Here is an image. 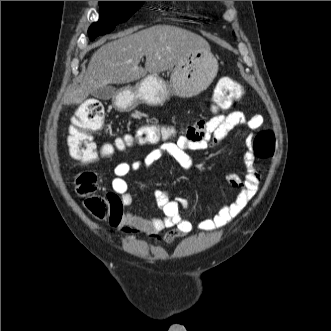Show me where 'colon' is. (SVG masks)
<instances>
[{"instance_id":"colon-1","label":"colon","mask_w":331,"mask_h":331,"mask_svg":"<svg viewBox=\"0 0 331 331\" xmlns=\"http://www.w3.org/2000/svg\"><path fill=\"white\" fill-rule=\"evenodd\" d=\"M244 87L237 81L221 78L214 93V106L217 110H225L244 96ZM105 119L103 105L96 99L85 101L76 111L70 133L68 146L71 156L83 163H95L100 157L110 156L114 149H125L137 143L140 145L157 144L167 141L173 134L169 127L156 123H148L136 130L133 135L119 138L115 145L106 144L100 150L92 141L90 132L99 130ZM275 136L270 129L261 130L253 142L254 153L260 158H268L274 152ZM77 192L85 196L86 208L97 218H104L113 210H119L120 200L114 194L101 196L96 194L97 179L93 172L81 173L76 181Z\"/></svg>"}]
</instances>
